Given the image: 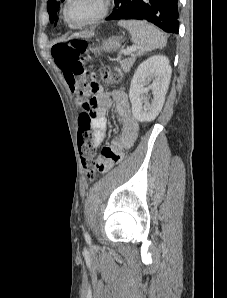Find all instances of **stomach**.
Masks as SVG:
<instances>
[{
    "label": "stomach",
    "instance_id": "1",
    "mask_svg": "<svg viewBox=\"0 0 227 298\" xmlns=\"http://www.w3.org/2000/svg\"><path fill=\"white\" fill-rule=\"evenodd\" d=\"M121 46V40L118 37H111L108 40L104 41L100 49L98 50V53L101 51L104 52H112L117 50Z\"/></svg>",
    "mask_w": 227,
    "mask_h": 298
}]
</instances>
